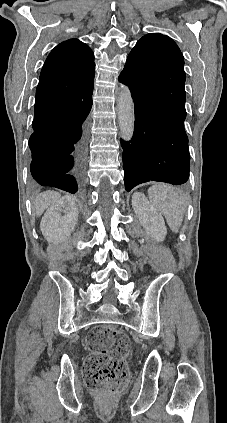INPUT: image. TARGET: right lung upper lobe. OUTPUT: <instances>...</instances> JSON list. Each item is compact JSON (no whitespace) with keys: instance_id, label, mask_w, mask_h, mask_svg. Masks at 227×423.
I'll return each mask as SVG.
<instances>
[{"instance_id":"cb5924a9","label":"right lung upper lobe","mask_w":227,"mask_h":423,"mask_svg":"<svg viewBox=\"0 0 227 423\" xmlns=\"http://www.w3.org/2000/svg\"><path fill=\"white\" fill-rule=\"evenodd\" d=\"M94 54L85 43L70 39L48 55L36 90V98L61 101L93 93ZM34 131H38L34 127Z\"/></svg>"}]
</instances>
